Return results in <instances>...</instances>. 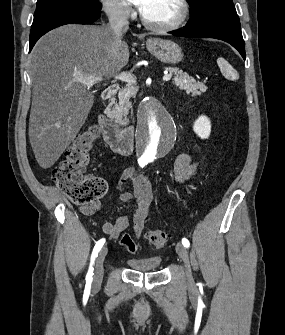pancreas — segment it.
I'll return each mask as SVG.
<instances>
[{"label": "pancreas", "instance_id": "obj_1", "mask_svg": "<svg viewBox=\"0 0 285 335\" xmlns=\"http://www.w3.org/2000/svg\"><path fill=\"white\" fill-rule=\"evenodd\" d=\"M167 70L174 74L173 84L174 86H178L179 90H185V92L192 94V96H200L202 92H206L207 86H205V84L196 82L194 78H191V76L186 74V72H183V70H179V68H167ZM136 92L137 90L136 88H133V86H126V88H123L120 92L121 96H119V104L118 106H114V112L108 113V118L115 119L121 126L128 124L126 116L129 114L130 108H132V104L129 100L132 96H135Z\"/></svg>", "mask_w": 285, "mask_h": 335}]
</instances>
